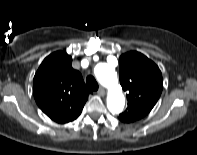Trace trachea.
<instances>
[{
	"instance_id": "3493384b",
	"label": "trachea",
	"mask_w": 197,
	"mask_h": 155,
	"mask_svg": "<svg viewBox=\"0 0 197 155\" xmlns=\"http://www.w3.org/2000/svg\"><path fill=\"white\" fill-rule=\"evenodd\" d=\"M86 84L91 90H98V83L96 82L95 78L93 76H88L86 78Z\"/></svg>"
}]
</instances>
